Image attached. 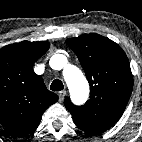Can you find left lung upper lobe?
<instances>
[{"mask_svg":"<svg viewBox=\"0 0 142 142\" xmlns=\"http://www.w3.org/2000/svg\"><path fill=\"white\" fill-rule=\"evenodd\" d=\"M66 43L85 71L90 99L76 106L67 97L65 106L79 129L102 133L119 120L129 101L133 88L129 60L118 44L95 33L69 38Z\"/></svg>","mask_w":142,"mask_h":142,"instance_id":"1","label":"left lung upper lobe"}]
</instances>
